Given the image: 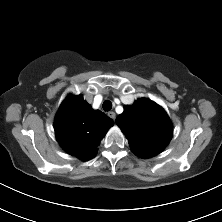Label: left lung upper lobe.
Here are the masks:
<instances>
[{
    "instance_id": "5c2ea615",
    "label": "left lung upper lobe",
    "mask_w": 222,
    "mask_h": 222,
    "mask_svg": "<svg viewBox=\"0 0 222 222\" xmlns=\"http://www.w3.org/2000/svg\"><path fill=\"white\" fill-rule=\"evenodd\" d=\"M116 124L126 135L134 154L149 158L159 154L171 140L173 129L164 109L155 102L140 98L125 105Z\"/></svg>"
}]
</instances>
